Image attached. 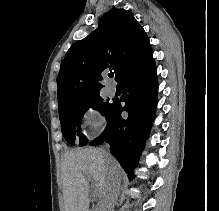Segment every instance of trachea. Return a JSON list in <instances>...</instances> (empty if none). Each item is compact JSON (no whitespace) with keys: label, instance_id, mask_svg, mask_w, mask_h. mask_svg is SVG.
Listing matches in <instances>:
<instances>
[{"label":"trachea","instance_id":"3493384b","mask_svg":"<svg viewBox=\"0 0 219 211\" xmlns=\"http://www.w3.org/2000/svg\"><path fill=\"white\" fill-rule=\"evenodd\" d=\"M110 77H113L114 76V74L113 73H110V75H109Z\"/></svg>","mask_w":219,"mask_h":211}]
</instances>
